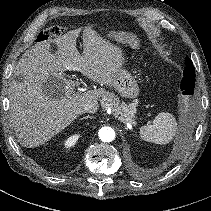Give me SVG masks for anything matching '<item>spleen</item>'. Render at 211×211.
Here are the masks:
<instances>
[{"label":"spleen","mask_w":211,"mask_h":211,"mask_svg":"<svg viewBox=\"0 0 211 211\" xmlns=\"http://www.w3.org/2000/svg\"><path fill=\"white\" fill-rule=\"evenodd\" d=\"M177 122L169 112L159 113L152 124L140 128V137L155 144H167L177 133Z\"/></svg>","instance_id":"obj_1"}]
</instances>
